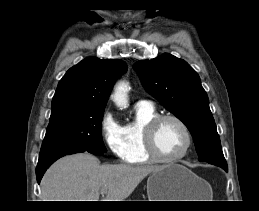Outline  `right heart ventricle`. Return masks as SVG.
<instances>
[{
	"instance_id": "1",
	"label": "right heart ventricle",
	"mask_w": 259,
	"mask_h": 211,
	"mask_svg": "<svg viewBox=\"0 0 259 211\" xmlns=\"http://www.w3.org/2000/svg\"><path fill=\"white\" fill-rule=\"evenodd\" d=\"M158 112L152 105L137 104L135 118L132 122L122 127L124 150L122 159L131 164L151 163L152 159L147 154L143 141V128Z\"/></svg>"
}]
</instances>
